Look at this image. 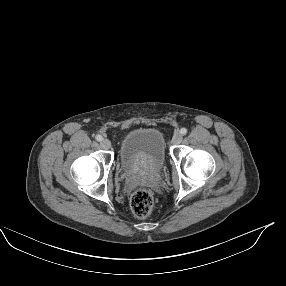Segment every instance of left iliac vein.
Returning a JSON list of instances; mask_svg holds the SVG:
<instances>
[{"instance_id":"4c4485c4","label":"left iliac vein","mask_w":286,"mask_h":286,"mask_svg":"<svg viewBox=\"0 0 286 286\" xmlns=\"http://www.w3.org/2000/svg\"><path fill=\"white\" fill-rule=\"evenodd\" d=\"M182 134L181 133H175L172 137V143L173 144H180L182 142Z\"/></svg>"}]
</instances>
